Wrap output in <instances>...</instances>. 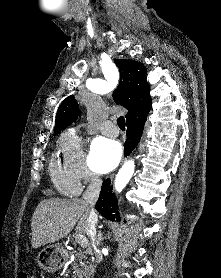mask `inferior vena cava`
<instances>
[{"label": "inferior vena cava", "instance_id": "obj_1", "mask_svg": "<svg viewBox=\"0 0 221 278\" xmlns=\"http://www.w3.org/2000/svg\"><path fill=\"white\" fill-rule=\"evenodd\" d=\"M102 180L96 174L91 175V182L87 187L85 193L83 194L84 200L88 203L89 216L87 221L86 233L91 240L92 246L95 248L96 244L98 245V240L96 236V224H97V215L94 210V205L98 200L100 189H101ZM102 260L100 255H96V262L99 263Z\"/></svg>", "mask_w": 221, "mask_h": 278}]
</instances>
